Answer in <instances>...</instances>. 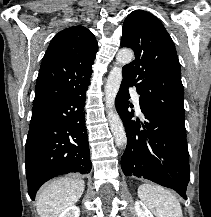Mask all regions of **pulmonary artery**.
Listing matches in <instances>:
<instances>
[{"instance_id":"obj_1","label":"pulmonary artery","mask_w":211,"mask_h":217,"mask_svg":"<svg viewBox=\"0 0 211 217\" xmlns=\"http://www.w3.org/2000/svg\"><path fill=\"white\" fill-rule=\"evenodd\" d=\"M132 97H133V101L135 103V106L137 108L138 111H140V106H139V95L138 93L135 91V89L131 88L130 89Z\"/></svg>"}]
</instances>
